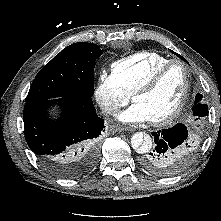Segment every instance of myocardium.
Returning <instances> with one entry per match:
<instances>
[{
  "mask_svg": "<svg viewBox=\"0 0 221 221\" xmlns=\"http://www.w3.org/2000/svg\"><path fill=\"white\" fill-rule=\"evenodd\" d=\"M175 64L180 65L184 71V75H185L184 92H183L181 100L179 101L177 106L169 114H167L166 116H164L162 118L151 120L152 123L156 126H163V125H167V124L171 123L184 110V108L190 98L191 89H192L191 75H190V70H189L187 64L183 60H180V59H170L168 62H166L165 64H163L159 68H157L151 74V76L145 82H143L132 94V100L134 101V99L138 95H141V94H144V93H147V92H150L151 90H153L156 87V85L159 83V81L161 80L163 75L166 73V71L172 65H175Z\"/></svg>",
  "mask_w": 221,
  "mask_h": 221,
  "instance_id": "f54148a6",
  "label": "myocardium"
}]
</instances>
